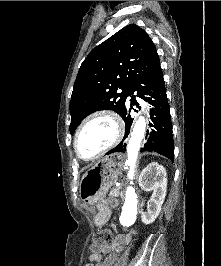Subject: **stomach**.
Listing matches in <instances>:
<instances>
[{
  "instance_id": "0dacf381",
  "label": "stomach",
  "mask_w": 221,
  "mask_h": 266,
  "mask_svg": "<svg viewBox=\"0 0 221 266\" xmlns=\"http://www.w3.org/2000/svg\"><path fill=\"white\" fill-rule=\"evenodd\" d=\"M122 166V155L112 154L100 159L82 176L79 193L81 200L98 208L95 222L106 217V208L101 204L110 187L115 183Z\"/></svg>"
}]
</instances>
